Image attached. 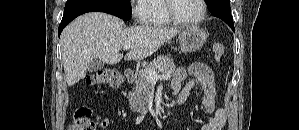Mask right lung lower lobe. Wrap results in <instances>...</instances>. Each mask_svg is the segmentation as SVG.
I'll return each instance as SVG.
<instances>
[{"label": "right lung lower lobe", "mask_w": 299, "mask_h": 130, "mask_svg": "<svg viewBox=\"0 0 299 130\" xmlns=\"http://www.w3.org/2000/svg\"><path fill=\"white\" fill-rule=\"evenodd\" d=\"M92 11H100L115 15L122 19H130L131 14L116 7L113 5H108L99 2H91V1H74L70 3H66L64 8V15L62 21L59 25V36L62 30L65 28L67 24H69L74 18L77 16L92 12Z\"/></svg>", "instance_id": "98d812e1"}]
</instances>
